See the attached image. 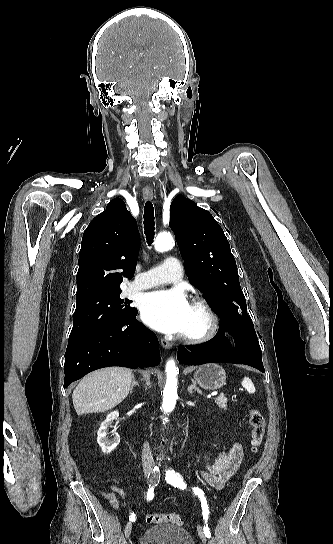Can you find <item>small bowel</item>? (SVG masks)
I'll return each instance as SVG.
<instances>
[{"mask_svg": "<svg viewBox=\"0 0 333 544\" xmlns=\"http://www.w3.org/2000/svg\"><path fill=\"white\" fill-rule=\"evenodd\" d=\"M242 457L243 451L239 443H234L229 449L220 451L213 459L205 455V469L203 471L205 481L212 488L221 489L238 469ZM118 495L124 498L128 497L127 491L119 486H113L110 491L103 493V497L115 510L120 508Z\"/></svg>", "mask_w": 333, "mask_h": 544, "instance_id": "obj_1", "label": "small bowel"}]
</instances>
